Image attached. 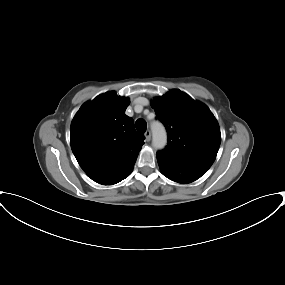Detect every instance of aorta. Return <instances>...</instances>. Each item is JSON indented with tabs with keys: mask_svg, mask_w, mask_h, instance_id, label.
<instances>
[{
	"mask_svg": "<svg viewBox=\"0 0 285 285\" xmlns=\"http://www.w3.org/2000/svg\"><path fill=\"white\" fill-rule=\"evenodd\" d=\"M152 145L155 149H163L167 143V134L164 126L159 122L151 125Z\"/></svg>",
	"mask_w": 285,
	"mask_h": 285,
	"instance_id": "obj_1",
	"label": "aorta"
}]
</instances>
